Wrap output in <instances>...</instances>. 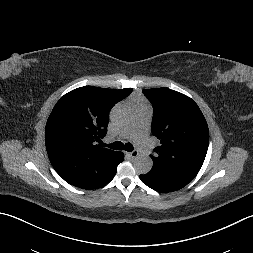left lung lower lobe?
I'll use <instances>...</instances> for the list:
<instances>
[{
	"instance_id": "1",
	"label": "left lung lower lobe",
	"mask_w": 253,
	"mask_h": 253,
	"mask_svg": "<svg viewBox=\"0 0 253 253\" xmlns=\"http://www.w3.org/2000/svg\"><path fill=\"white\" fill-rule=\"evenodd\" d=\"M140 179L148 187L161 193L179 190L192 180L179 174L155 169L148 174L140 175Z\"/></svg>"
}]
</instances>
